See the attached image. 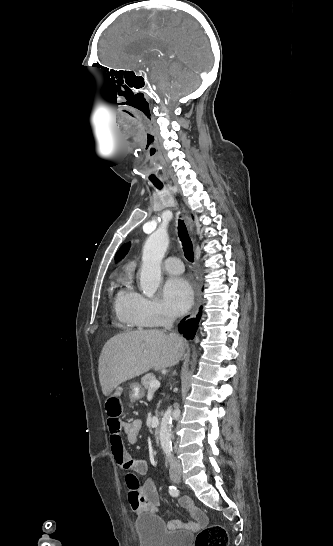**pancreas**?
<instances>
[{"mask_svg":"<svg viewBox=\"0 0 333 546\" xmlns=\"http://www.w3.org/2000/svg\"><path fill=\"white\" fill-rule=\"evenodd\" d=\"M154 379H156V376L153 373H149L143 376V378L141 379V384L144 386V390L149 389L150 382Z\"/></svg>","mask_w":333,"mask_h":546,"instance_id":"obj_1","label":"pancreas"}]
</instances>
